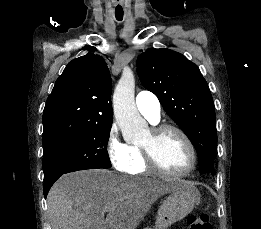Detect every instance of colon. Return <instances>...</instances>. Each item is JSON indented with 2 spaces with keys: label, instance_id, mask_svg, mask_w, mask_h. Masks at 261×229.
I'll return each mask as SVG.
<instances>
[{
  "label": "colon",
  "instance_id": "obj_1",
  "mask_svg": "<svg viewBox=\"0 0 261 229\" xmlns=\"http://www.w3.org/2000/svg\"><path fill=\"white\" fill-rule=\"evenodd\" d=\"M187 229H213L209 217L205 213L192 214L187 220Z\"/></svg>",
  "mask_w": 261,
  "mask_h": 229
}]
</instances>
